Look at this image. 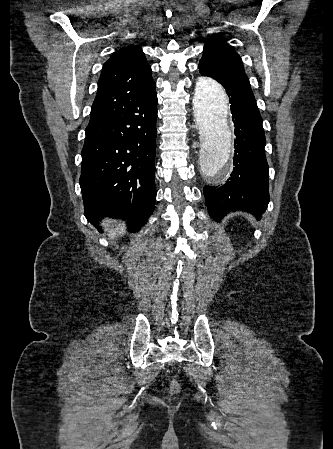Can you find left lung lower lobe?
I'll return each mask as SVG.
<instances>
[{"mask_svg":"<svg viewBox=\"0 0 333 449\" xmlns=\"http://www.w3.org/2000/svg\"><path fill=\"white\" fill-rule=\"evenodd\" d=\"M223 87L230 98L235 127L234 168L224 185L204 187L206 204L215 221L235 210H244L259 218L269 203L262 118L253 93L231 85Z\"/></svg>","mask_w":333,"mask_h":449,"instance_id":"1","label":"left lung lower lobe"}]
</instances>
